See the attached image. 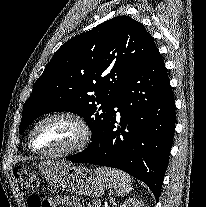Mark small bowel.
Masks as SVG:
<instances>
[{"instance_id":"1","label":"small bowel","mask_w":206,"mask_h":207,"mask_svg":"<svg viewBox=\"0 0 206 207\" xmlns=\"http://www.w3.org/2000/svg\"><path fill=\"white\" fill-rule=\"evenodd\" d=\"M51 207H81L79 201L76 198L65 196V197H53L50 199Z\"/></svg>"}]
</instances>
